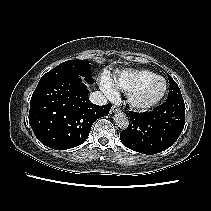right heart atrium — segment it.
Returning <instances> with one entry per match:
<instances>
[{
  "mask_svg": "<svg viewBox=\"0 0 211 211\" xmlns=\"http://www.w3.org/2000/svg\"><path fill=\"white\" fill-rule=\"evenodd\" d=\"M101 88L103 92L111 99H114L118 96L115 85L112 80L107 76H104L101 80Z\"/></svg>",
  "mask_w": 211,
  "mask_h": 211,
  "instance_id": "right-heart-atrium-1",
  "label": "right heart atrium"
}]
</instances>
